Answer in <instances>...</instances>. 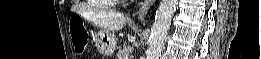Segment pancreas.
I'll use <instances>...</instances> for the list:
<instances>
[{
    "instance_id": "1",
    "label": "pancreas",
    "mask_w": 261,
    "mask_h": 59,
    "mask_svg": "<svg viewBox=\"0 0 261 59\" xmlns=\"http://www.w3.org/2000/svg\"><path fill=\"white\" fill-rule=\"evenodd\" d=\"M132 52V48L130 46H124L117 53V59H126L129 54Z\"/></svg>"
}]
</instances>
